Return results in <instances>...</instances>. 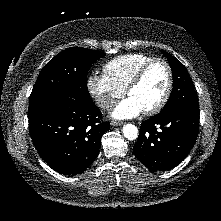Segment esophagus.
Masks as SVG:
<instances>
[{"mask_svg":"<svg viewBox=\"0 0 221 221\" xmlns=\"http://www.w3.org/2000/svg\"><path fill=\"white\" fill-rule=\"evenodd\" d=\"M111 125H112V126H121V125H123V122L112 121V122H111Z\"/></svg>","mask_w":221,"mask_h":221,"instance_id":"34e87169","label":"esophagus"}]
</instances>
